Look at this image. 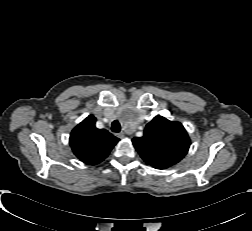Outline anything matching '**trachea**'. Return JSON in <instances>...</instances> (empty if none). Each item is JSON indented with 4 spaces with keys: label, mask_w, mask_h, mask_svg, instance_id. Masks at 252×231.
<instances>
[{
    "label": "trachea",
    "mask_w": 252,
    "mask_h": 231,
    "mask_svg": "<svg viewBox=\"0 0 252 231\" xmlns=\"http://www.w3.org/2000/svg\"><path fill=\"white\" fill-rule=\"evenodd\" d=\"M111 130H112L113 132H120L121 126H120V123L118 122V120H114V121L112 122Z\"/></svg>",
    "instance_id": "3493384b"
}]
</instances>
